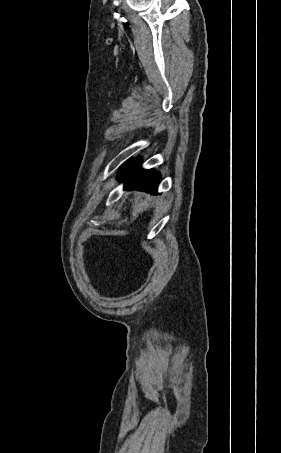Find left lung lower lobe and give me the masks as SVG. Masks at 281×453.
<instances>
[{"label": "left lung lower lobe", "mask_w": 281, "mask_h": 453, "mask_svg": "<svg viewBox=\"0 0 281 453\" xmlns=\"http://www.w3.org/2000/svg\"><path fill=\"white\" fill-rule=\"evenodd\" d=\"M141 160L133 159L125 163L119 173L118 179L125 181V190H143L156 194L160 174L151 170L140 168Z\"/></svg>", "instance_id": "0a47b994"}]
</instances>
